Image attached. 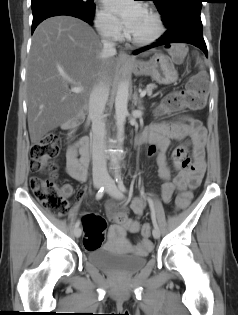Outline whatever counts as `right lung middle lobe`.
I'll return each instance as SVG.
<instances>
[{
  "mask_svg": "<svg viewBox=\"0 0 238 315\" xmlns=\"http://www.w3.org/2000/svg\"><path fill=\"white\" fill-rule=\"evenodd\" d=\"M40 1H47V0H31V3L34 2H40ZM57 1H63V2H67L79 7H82L86 10H95V5H94V0H57Z\"/></svg>",
  "mask_w": 238,
  "mask_h": 315,
  "instance_id": "right-lung-middle-lobe-1",
  "label": "right lung middle lobe"
}]
</instances>
